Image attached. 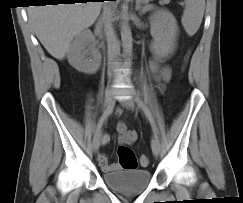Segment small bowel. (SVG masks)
Masks as SVG:
<instances>
[{"mask_svg": "<svg viewBox=\"0 0 243 203\" xmlns=\"http://www.w3.org/2000/svg\"><path fill=\"white\" fill-rule=\"evenodd\" d=\"M149 67L150 71L158 82L164 83L170 79L172 74L170 67L162 66L157 61H151ZM120 111H122V109H120ZM117 131L119 133L118 141L122 145H131L137 140V132L134 130H129L124 122H119L117 124ZM109 141L110 136L108 134H104L101 139L102 144L106 145L109 143ZM98 162L105 172L120 169V164L118 162L109 163L107 156L103 153L98 155Z\"/></svg>", "mask_w": 243, "mask_h": 203, "instance_id": "small-bowel-1", "label": "small bowel"}]
</instances>
